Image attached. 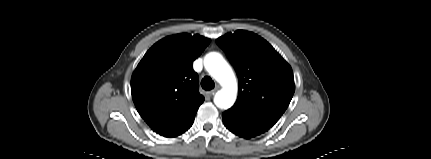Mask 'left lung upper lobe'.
<instances>
[{
	"mask_svg": "<svg viewBox=\"0 0 431 159\" xmlns=\"http://www.w3.org/2000/svg\"><path fill=\"white\" fill-rule=\"evenodd\" d=\"M239 78L236 103L224 113L256 126L271 128L287 109L294 91L290 65L263 38L238 30L216 40Z\"/></svg>",
	"mask_w": 431,
	"mask_h": 159,
	"instance_id": "obj_1",
	"label": "left lung upper lobe"
}]
</instances>
